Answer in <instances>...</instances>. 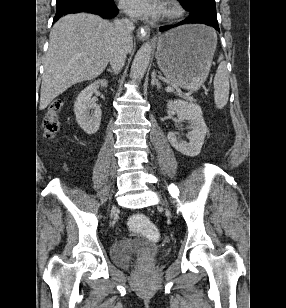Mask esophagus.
Returning <instances> with one entry per match:
<instances>
[{
  "label": "esophagus",
  "mask_w": 286,
  "mask_h": 308,
  "mask_svg": "<svg viewBox=\"0 0 286 308\" xmlns=\"http://www.w3.org/2000/svg\"><path fill=\"white\" fill-rule=\"evenodd\" d=\"M150 33H151L150 28L148 26H143L140 29H138L137 37L140 40H146L150 37Z\"/></svg>",
  "instance_id": "1"
}]
</instances>
